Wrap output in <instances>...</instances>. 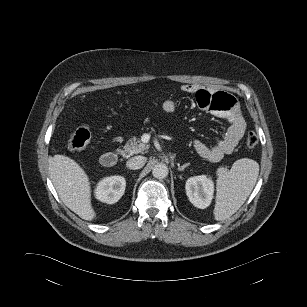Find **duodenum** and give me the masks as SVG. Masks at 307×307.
<instances>
[{
    "label": "duodenum",
    "instance_id": "410a0bca",
    "mask_svg": "<svg viewBox=\"0 0 307 307\" xmlns=\"http://www.w3.org/2000/svg\"><path fill=\"white\" fill-rule=\"evenodd\" d=\"M102 166L111 168L117 164L118 155L116 152H106L100 158Z\"/></svg>",
    "mask_w": 307,
    "mask_h": 307
}]
</instances>
